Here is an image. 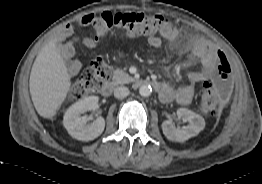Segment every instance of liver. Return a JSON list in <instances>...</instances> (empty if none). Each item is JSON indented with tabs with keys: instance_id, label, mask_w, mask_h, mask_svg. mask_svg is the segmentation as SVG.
I'll use <instances>...</instances> for the list:
<instances>
[{
	"instance_id": "6515ba94",
	"label": "liver",
	"mask_w": 262,
	"mask_h": 184,
	"mask_svg": "<svg viewBox=\"0 0 262 184\" xmlns=\"http://www.w3.org/2000/svg\"><path fill=\"white\" fill-rule=\"evenodd\" d=\"M57 38L38 53L30 74V94L37 113L47 119L55 116L71 87V78L57 47Z\"/></svg>"
}]
</instances>
